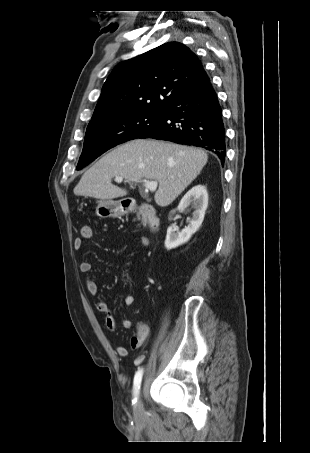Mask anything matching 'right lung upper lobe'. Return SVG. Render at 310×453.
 <instances>
[{"label": "right lung upper lobe", "mask_w": 310, "mask_h": 453, "mask_svg": "<svg viewBox=\"0 0 310 453\" xmlns=\"http://www.w3.org/2000/svg\"><path fill=\"white\" fill-rule=\"evenodd\" d=\"M205 73L188 47L165 43L114 68L90 122L119 113L163 110Z\"/></svg>", "instance_id": "cb5924a9"}]
</instances>
